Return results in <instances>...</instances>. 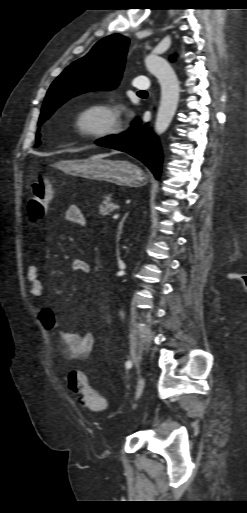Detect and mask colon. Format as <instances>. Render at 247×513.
<instances>
[{
  "label": "colon",
  "mask_w": 247,
  "mask_h": 513,
  "mask_svg": "<svg viewBox=\"0 0 247 513\" xmlns=\"http://www.w3.org/2000/svg\"><path fill=\"white\" fill-rule=\"evenodd\" d=\"M53 196L54 189L45 177L39 176L32 181L27 203V213L31 221H40L46 215ZM68 384L80 401L91 410L104 412L108 409L106 399L91 387L85 373L71 371L68 374Z\"/></svg>",
  "instance_id": "obj_1"
}]
</instances>
